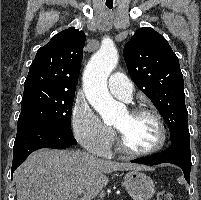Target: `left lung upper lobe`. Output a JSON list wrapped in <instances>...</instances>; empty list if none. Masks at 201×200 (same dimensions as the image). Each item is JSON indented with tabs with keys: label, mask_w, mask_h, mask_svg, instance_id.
Wrapping results in <instances>:
<instances>
[{
	"label": "left lung upper lobe",
	"mask_w": 201,
	"mask_h": 200,
	"mask_svg": "<svg viewBox=\"0 0 201 200\" xmlns=\"http://www.w3.org/2000/svg\"><path fill=\"white\" fill-rule=\"evenodd\" d=\"M123 55L134 83L165 119L171 142L190 137L183 75L167 40L152 28H140L124 46Z\"/></svg>",
	"instance_id": "left-lung-upper-lobe-1"
}]
</instances>
